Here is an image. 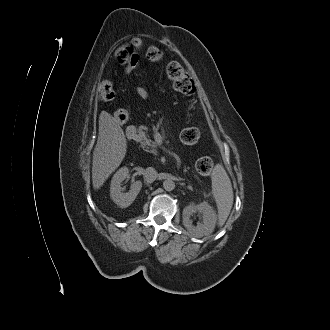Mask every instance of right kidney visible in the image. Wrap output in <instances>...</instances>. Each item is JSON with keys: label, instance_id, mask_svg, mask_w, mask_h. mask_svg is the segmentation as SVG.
<instances>
[{"label": "right kidney", "instance_id": "1", "mask_svg": "<svg viewBox=\"0 0 330 330\" xmlns=\"http://www.w3.org/2000/svg\"><path fill=\"white\" fill-rule=\"evenodd\" d=\"M128 177L129 169L127 167H122L114 174L111 180L110 197L113 202L121 208L130 206L142 188V182L135 181L131 184L128 192H123L121 183Z\"/></svg>", "mask_w": 330, "mask_h": 330}]
</instances>
